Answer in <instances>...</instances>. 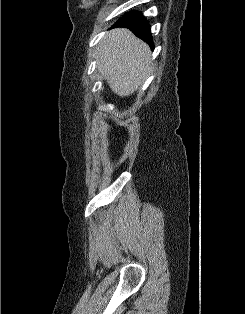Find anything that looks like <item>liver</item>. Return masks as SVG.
Instances as JSON below:
<instances>
[{"label": "liver", "instance_id": "1", "mask_svg": "<svg viewBox=\"0 0 245 314\" xmlns=\"http://www.w3.org/2000/svg\"><path fill=\"white\" fill-rule=\"evenodd\" d=\"M150 48L125 28L111 30L99 43L95 58L98 71L111 90L129 96L151 72Z\"/></svg>", "mask_w": 245, "mask_h": 314}]
</instances>
